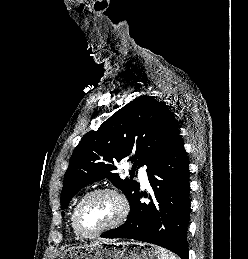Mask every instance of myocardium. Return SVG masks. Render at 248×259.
Returning <instances> with one entry per match:
<instances>
[{
	"label": "myocardium",
	"instance_id": "1",
	"mask_svg": "<svg viewBox=\"0 0 248 259\" xmlns=\"http://www.w3.org/2000/svg\"><path fill=\"white\" fill-rule=\"evenodd\" d=\"M100 194L113 195L120 203V213H119L118 217L112 223L104 226L103 228H101L95 232H86L81 227L80 222H79L80 209L87 200H89L90 198H92L96 195H100ZM128 213H129V206H128L127 200L124 197V195L113 187H102V188H97V189H94V190L88 192L79 200V202L76 204V206L73 210L72 221H73V226H74L76 232L80 236L85 237V238H94V237H97L105 232H108V231L113 230V229L117 228L118 226H120L126 220Z\"/></svg>",
	"mask_w": 248,
	"mask_h": 259
}]
</instances>
